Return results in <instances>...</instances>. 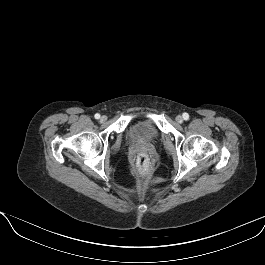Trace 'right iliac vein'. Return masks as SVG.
I'll return each mask as SVG.
<instances>
[{
	"instance_id": "1",
	"label": "right iliac vein",
	"mask_w": 265,
	"mask_h": 265,
	"mask_svg": "<svg viewBox=\"0 0 265 265\" xmlns=\"http://www.w3.org/2000/svg\"><path fill=\"white\" fill-rule=\"evenodd\" d=\"M106 120H107L106 116H102L101 119H100L101 122H105Z\"/></svg>"
}]
</instances>
